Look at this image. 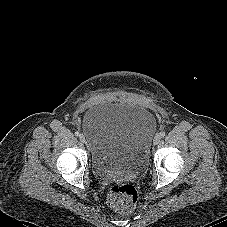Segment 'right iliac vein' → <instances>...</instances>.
I'll list each match as a JSON object with an SVG mask.
<instances>
[{
    "label": "right iliac vein",
    "instance_id": "63e3f726",
    "mask_svg": "<svg viewBox=\"0 0 227 227\" xmlns=\"http://www.w3.org/2000/svg\"><path fill=\"white\" fill-rule=\"evenodd\" d=\"M79 139H80V141L82 143H85L86 142V138H85V136L83 134L80 135Z\"/></svg>",
    "mask_w": 227,
    "mask_h": 227
}]
</instances>
